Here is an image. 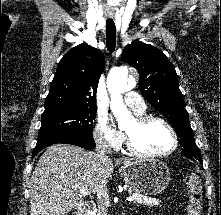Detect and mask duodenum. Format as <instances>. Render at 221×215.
<instances>
[{
  "instance_id": "obj_1",
  "label": "duodenum",
  "mask_w": 221,
  "mask_h": 215,
  "mask_svg": "<svg viewBox=\"0 0 221 215\" xmlns=\"http://www.w3.org/2000/svg\"><path fill=\"white\" fill-rule=\"evenodd\" d=\"M94 212L95 204L93 202H86L77 215H94Z\"/></svg>"
}]
</instances>
